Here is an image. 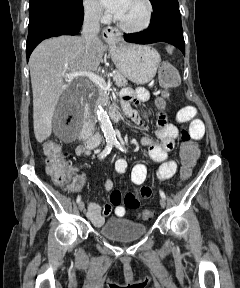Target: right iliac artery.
I'll return each instance as SVG.
<instances>
[{"mask_svg": "<svg viewBox=\"0 0 240 288\" xmlns=\"http://www.w3.org/2000/svg\"><path fill=\"white\" fill-rule=\"evenodd\" d=\"M113 146H114V142L113 141H108L106 147L104 148V150L100 154V159L105 158L110 153V151L112 150ZM80 201H81V196L78 195V197L76 199V202L79 203Z\"/></svg>", "mask_w": 240, "mask_h": 288, "instance_id": "right-iliac-artery-1", "label": "right iliac artery"}]
</instances>
